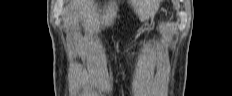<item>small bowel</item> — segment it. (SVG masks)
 I'll return each mask as SVG.
<instances>
[{
  "label": "small bowel",
  "instance_id": "1",
  "mask_svg": "<svg viewBox=\"0 0 232 96\" xmlns=\"http://www.w3.org/2000/svg\"><path fill=\"white\" fill-rule=\"evenodd\" d=\"M149 81L137 82L134 85L133 95L134 96H145L154 93L152 87L149 86Z\"/></svg>",
  "mask_w": 232,
  "mask_h": 96
}]
</instances>
